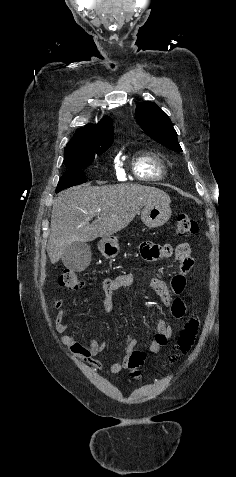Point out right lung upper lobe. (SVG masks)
<instances>
[{
	"label": "right lung upper lobe",
	"instance_id": "right-lung-upper-lobe-1",
	"mask_svg": "<svg viewBox=\"0 0 236 477\" xmlns=\"http://www.w3.org/2000/svg\"><path fill=\"white\" fill-rule=\"evenodd\" d=\"M114 139L111 119L106 116L98 124L80 128L65 147V159L89 154L97 150L110 147Z\"/></svg>",
	"mask_w": 236,
	"mask_h": 477
}]
</instances>
